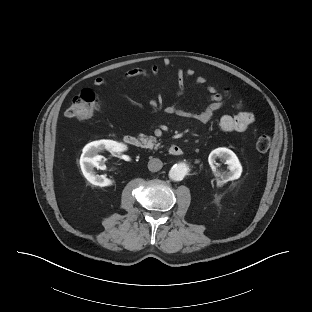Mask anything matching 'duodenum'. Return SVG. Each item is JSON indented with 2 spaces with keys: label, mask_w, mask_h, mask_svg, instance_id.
Listing matches in <instances>:
<instances>
[{
  "label": "duodenum",
  "mask_w": 312,
  "mask_h": 312,
  "mask_svg": "<svg viewBox=\"0 0 312 312\" xmlns=\"http://www.w3.org/2000/svg\"><path fill=\"white\" fill-rule=\"evenodd\" d=\"M124 142L125 144L135 148H139L143 145L142 141L134 135H126L124 137ZM169 152L174 156H180L183 153V149L179 145H172L169 149Z\"/></svg>",
  "instance_id": "duodenum-1"
}]
</instances>
